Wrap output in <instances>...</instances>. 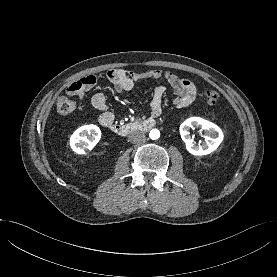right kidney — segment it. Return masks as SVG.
<instances>
[{
  "label": "right kidney",
  "instance_id": "1",
  "mask_svg": "<svg viewBox=\"0 0 277 277\" xmlns=\"http://www.w3.org/2000/svg\"><path fill=\"white\" fill-rule=\"evenodd\" d=\"M101 130L98 126L90 124L78 128L70 137V146L78 154H85L100 140Z\"/></svg>",
  "mask_w": 277,
  "mask_h": 277
}]
</instances>
